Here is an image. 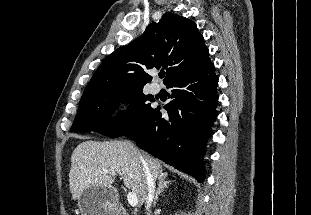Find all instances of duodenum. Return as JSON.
<instances>
[{
	"label": "duodenum",
	"mask_w": 311,
	"mask_h": 215,
	"mask_svg": "<svg viewBox=\"0 0 311 215\" xmlns=\"http://www.w3.org/2000/svg\"><path fill=\"white\" fill-rule=\"evenodd\" d=\"M119 214H120V215H126V212H125L124 210H120V211H119Z\"/></svg>",
	"instance_id": "1"
}]
</instances>
